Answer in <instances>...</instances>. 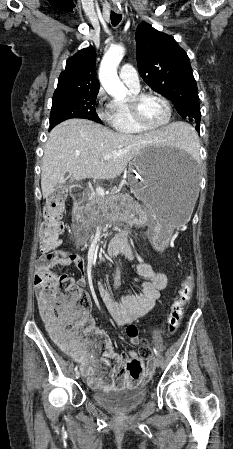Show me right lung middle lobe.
<instances>
[{
  "label": "right lung middle lobe",
  "mask_w": 233,
  "mask_h": 449,
  "mask_svg": "<svg viewBox=\"0 0 233 449\" xmlns=\"http://www.w3.org/2000/svg\"><path fill=\"white\" fill-rule=\"evenodd\" d=\"M97 92L62 93L53 96L50 129L70 118H86L102 123L95 110Z\"/></svg>",
  "instance_id": "dd1d6c3e"
}]
</instances>
